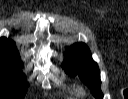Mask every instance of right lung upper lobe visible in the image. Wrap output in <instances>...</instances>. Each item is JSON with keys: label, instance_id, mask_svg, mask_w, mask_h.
Segmentation results:
<instances>
[{"label": "right lung upper lobe", "instance_id": "cb5924a9", "mask_svg": "<svg viewBox=\"0 0 128 99\" xmlns=\"http://www.w3.org/2000/svg\"><path fill=\"white\" fill-rule=\"evenodd\" d=\"M0 58H18L14 42L5 37L0 39Z\"/></svg>", "mask_w": 128, "mask_h": 99}]
</instances>
